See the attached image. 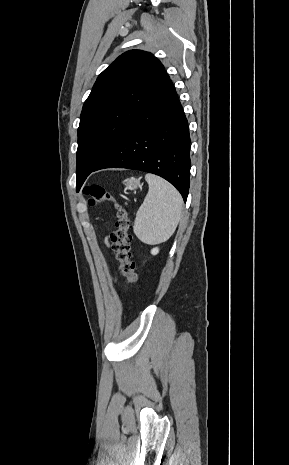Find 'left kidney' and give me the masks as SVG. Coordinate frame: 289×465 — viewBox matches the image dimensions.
Segmentation results:
<instances>
[{
  "label": "left kidney",
  "mask_w": 289,
  "mask_h": 465,
  "mask_svg": "<svg viewBox=\"0 0 289 465\" xmlns=\"http://www.w3.org/2000/svg\"><path fill=\"white\" fill-rule=\"evenodd\" d=\"M158 253H159V248H157V247H156V248H153V249L151 250V254H153V255H156V254H158Z\"/></svg>",
  "instance_id": "obj_1"
}]
</instances>
